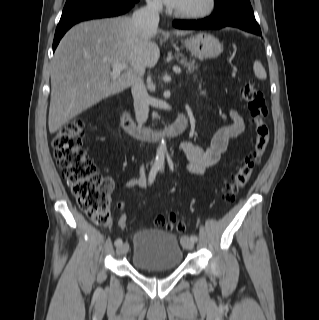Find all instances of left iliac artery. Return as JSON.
I'll return each mask as SVG.
<instances>
[{"mask_svg": "<svg viewBox=\"0 0 319 320\" xmlns=\"http://www.w3.org/2000/svg\"><path fill=\"white\" fill-rule=\"evenodd\" d=\"M190 240H191L192 242H196V241H197V236H196V235H191V236H190Z\"/></svg>", "mask_w": 319, "mask_h": 320, "instance_id": "44dca946", "label": "left iliac artery"}]
</instances>
